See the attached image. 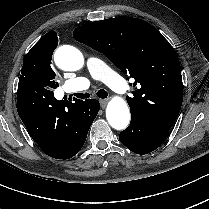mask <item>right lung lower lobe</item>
<instances>
[{"instance_id": "obj_1", "label": "right lung lower lobe", "mask_w": 209, "mask_h": 209, "mask_svg": "<svg viewBox=\"0 0 209 209\" xmlns=\"http://www.w3.org/2000/svg\"><path fill=\"white\" fill-rule=\"evenodd\" d=\"M90 114L81 126L75 125L69 115L71 103L58 101L54 95L46 94L35 86L18 84L17 111L28 134L41 150L56 159H69L77 154L85 143L88 130L94 121L100 104L86 99ZM65 120V121H64Z\"/></svg>"}]
</instances>
